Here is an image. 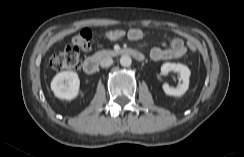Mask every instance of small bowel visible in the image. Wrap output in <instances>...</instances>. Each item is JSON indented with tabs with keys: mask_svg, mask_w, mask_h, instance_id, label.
<instances>
[{
	"mask_svg": "<svg viewBox=\"0 0 244 157\" xmlns=\"http://www.w3.org/2000/svg\"><path fill=\"white\" fill-rule=\"evenodd\" d=\"M144 36L145 33L138 28H132L127 31V38L132 41L140 40ZM186 50L183 40L178 37H173L170 39V46L168 48L155 47L150 51V57L154 61L171 60L183 56Z\"/></svg>",
	"mask_w": 244,
	"mask_h": 157,
	"instance_id": "1",
	"label": "small bowel"
}]
</instances>
